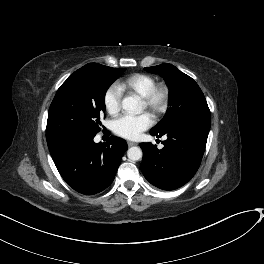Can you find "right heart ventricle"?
<instances>
[{
  "mask_svg": "<svg viewBox=\"0 0 264 264\" xmlns=\"http://www.w3.org/2000/svg\"><path fill=\"white\" fill-rule=\"evenodd\" d=\"M156 79L147 74H132L119 83V88L137 94L140 97L146 96L156 85Z\"/></svg>",
  "mask_w": 264,
  "mask_h": 264,
  "instance_id": "obj_1",
  "label": "right heart ventricle"
}]
</instances>
